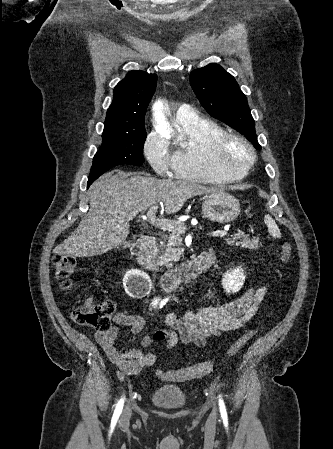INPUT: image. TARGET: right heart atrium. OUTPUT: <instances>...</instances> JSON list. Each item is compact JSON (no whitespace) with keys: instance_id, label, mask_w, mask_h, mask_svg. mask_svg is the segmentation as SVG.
Instances as JSON below:
<instances>
[{"instance_id":"1","label":"right heart atrium","mask_w":333,"mask_h":449,"mask_svg":"<svg viewBox=\"0 0 333 449\" xmlns=\"http://www.w3.org/2000/svg\"><path fill=\"white\" fill-rule=\"evenodd\" d=\"M143 153L153 170L162 176L173 171L174 156L165 138L156 132L147 135L143 144Z\"/></svg>"}]
</instances>
